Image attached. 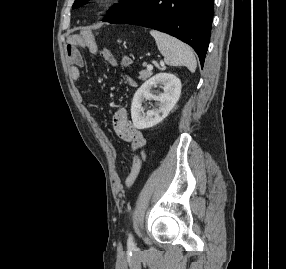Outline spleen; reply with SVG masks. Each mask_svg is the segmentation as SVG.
I'll return each instance as SVG.
<instances>
[{
  "label": "spleen",
  "mask_w": 286,
  "mask_h": 269,
  "mask_svg": "<svg viewBox=\"0 0 286 269\" xmlns=\"http://www.w3.org/2000/svg\"><path fill=\"white\" fill-rule=\"evenodd\" d=\"M165 63L170 66H186L189 71L195 72L197 62L192 49L180 40L165 33L151 30Z\"/></svg>",
  "instance_id": "1"
}]
</instances>
